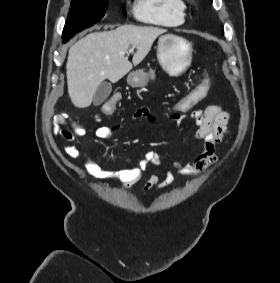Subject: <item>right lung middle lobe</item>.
Here are the masks:
<instances>
[{
	"instance_id": "1",
	"label": "right lung middle lobe",
	"mask_w": 280,
	"mask_h": 283,
	"mask_svg": "<svg viewBox=\"0 0 280 283\" xmlns=\"http://www.w3.org/2000/svg\"><path fill=\"white\" fill-rule=\"evenodd\" d=\"M107 6L108 0H72L63 29V41H68L75 33L99 21L105 15Z\"/></svg>"
}]
</instances>
